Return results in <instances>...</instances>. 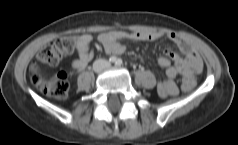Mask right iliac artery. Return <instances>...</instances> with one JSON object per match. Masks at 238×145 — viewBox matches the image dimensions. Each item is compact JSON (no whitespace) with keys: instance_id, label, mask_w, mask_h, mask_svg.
Segmentation results:
<instances>
[{"instance_id":"right-iliac-artery-1","label":"right iliac artery","mask_w":238,"mask_h":145,"mask_svg":"<svg viewBox=\"0 0 238 145\" xmlns=\"http://www.w3.org/2000/svg\"><path fill=\"white\" fill-rule=\"evenodd\" d=\"M116 61H117V58L115 57V56H111L110 58H109V63H116Z\"/></svg>"}]
</instances>
